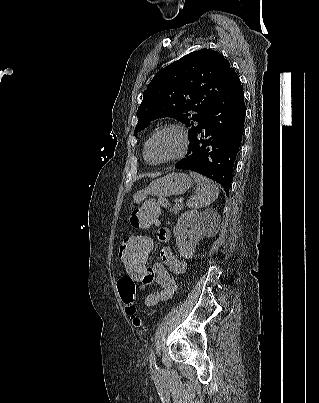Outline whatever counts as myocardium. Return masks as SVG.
<instances>
[{
  "mask_svg": "<svg viewBox=\"0 0 319 403\" xmlns=\"http://www.w3.org/2000/svg\"><path fill=\"white\" fill-rule=\"evenodd\" d=\"M167 131L174 132L177 135V137L179 139V147H178L177 151L174 154H172L171 156H169L165 159H162L160 161H154V162L150 161L148 159V149H149L151 142L159 134L167 132ZM188 147H189V138H188L186 130L181 125H178L175 123H167V124H164V125L158 127L149 136L148 140L145 143V147H144V158L148 163H151V164H156V165L157 164H166V163L174 162V161H177V160L183 158L188 151Z\"/></svg>",
  "mask_w": 319,
  "mask_h": 403,
  "instance_id": "f54148a6",
  "label": "myocardium"
}]
</instances>
